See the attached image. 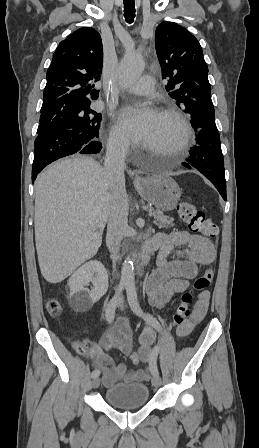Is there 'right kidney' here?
I'll list each match as a JSON object with an SVG mask.
<instances>
[{"instance_id": "ca27d5eb", "label": "right kidney", "mask_w": 259, "mask_h": 448, "mask_svg": "<svg viewBox=\"0 0 259 448\" xmlns=\"http://www.w3.org/2000/svg\"><path fill=\"white\" fill-rule=\"evenodd\" d=\"M96 276V278H94ZM92 282L94 288L88 290ZM70 288L69 302L75 312H87L95 302H98L108 288V274L101 262L90 260L78 268L68 280Z\"/></svg>"}]
</instances>
